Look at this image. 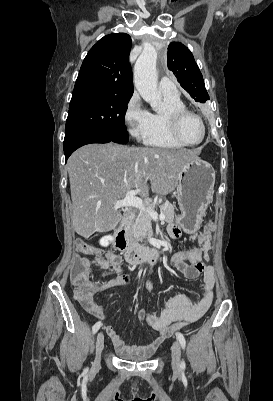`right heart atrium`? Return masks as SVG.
Instances as JSON below:
<instances>
[{
	"mask_svg": "<svg viewBox=\"0 0 273 401\" xmlns=\"http://www.w3.org/2000/svg\"><path fill=\"white\" fill-rule=\"evenodd\" d=\"M150 112L143 105L139 95L134 94L125 110V122L130 135L137 141L145 139L148 132Z\"/></svg>",
	"mask_w": 273,
	"mask_h": 401,
	"instance_id": "obj_1",
	"label": "right heart atrium"
}]
</instances>
